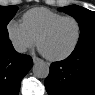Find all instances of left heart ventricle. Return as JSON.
Listing matches in <instances>:
<instances>
[{
  "mask_svg": "<svg viewBox=\"0 0 95 95\" xmlns=\"http://www.w3.org/2000/svg\"><path fill=\"white\" fill-rule=\"evenodd\" d=\"M77 34V24L73 20L63 21L41 41V50L49 56H60L73 46Z\"/></svg>",
  "mask_w": 95,
  "mask_h": 95,
  "instance_id": "1",
  "label": "left heart ventricle"
}]
</instances>
